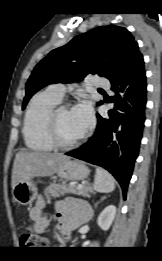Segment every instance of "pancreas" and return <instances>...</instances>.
Here are the masks:
<instances>
[{"mask_svg": "<svg viewBox=\"0 0 162 261\" xmlns=\"http://www.w3.org/2000/svg\"><path fill=\"white\" fill-rule=\"evenodd\" d=\"M92 192V188L89 183H84L82 188H78L76 185H67L65 182L52 183L46 187L44 194L46 195L47 202L50 203L52 198L63 196L64 194H76L88 197L89 193Z\"/></svg>", "mask_w": 162, "mask_h": 261, "instance_id": "obj_1", "label": "pancreas"}]
</instances>
